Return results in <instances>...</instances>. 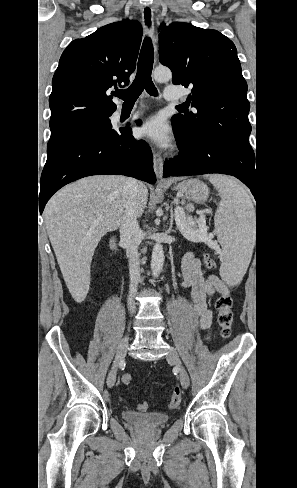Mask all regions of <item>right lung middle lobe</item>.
I'll return each mask as SVG.
<instances>
[{"mask_svg":"<svg viewBox=\"0 0 297 488\" xmlns=\"http://www.w3.org/2000/svg\"><path fill=\"white\" fill-rule=\"evenodd\" d=\"M111 129V122L109 118L97 119L86 121L72 127L63 129L61 131L51 133L50 140L47 145V153L52 151L56 146H58L63 141L88 131L95 130H108Z\"/></svg>","mask_w":297,"mask_h":488,"instance_id":"obj_1","label":"right lung middle lobe"}]
</instances>
